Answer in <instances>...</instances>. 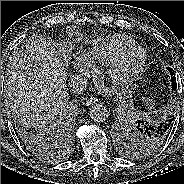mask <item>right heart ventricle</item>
<instances>
[{"label": "right heart ventricle", "instance_id": "1", "mask_svg": "<svg viewBox=\"0 0 184 184\" xmlns=\"http://www.w3.org/2000/svg\"><path fill=\"white\" fill-rule=\"evenodd\" d=\"M135 46L132 39L123 35H114L97 43L86 57L93 62L108 63L126 49Z\"/></svg>", "mask_w": 184, "mask_h": 184}]
</instances>
